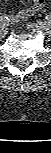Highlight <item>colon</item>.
<instances>
[{"instance_id": "obj_1", "label": "colon", "mask_w": 51, "mask_h": 153, "mask_svg": "<svg viewBox=\"0 0 51 153\" xmlns=\"http://www.w3.org/2000/svg\"><path fill=\"white\" fill-rule=\"evenodd\" d=\"M36 4H40L43 0H35Z\"/></svg>"}]
</instances>
